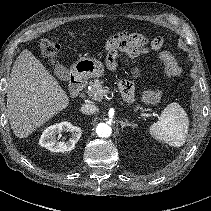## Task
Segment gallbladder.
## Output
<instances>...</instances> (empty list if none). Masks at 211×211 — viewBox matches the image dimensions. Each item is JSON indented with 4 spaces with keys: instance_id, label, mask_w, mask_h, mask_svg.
I'll return each mask as SVG.
<instances>
[{
    "instance_id": "obj_1",
    "label": "gallbladder",
    "mask_w": 211,
    "mask_h": 211,
    "mask_svg": "<svg viewBox=\"0 0 211 211\" xmlns=\"http://www.w3.org/2000/svg\"><path fill=\"white\" fill-rule=\"evenodd\" d=\"M52 63L55 64L54 73L57 76H60L62 73H64L66 71V68L63 65H61L60 63H58L55 59L52 60Z\"/></svg>"
}]
</instances>
